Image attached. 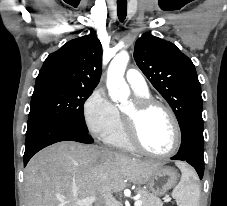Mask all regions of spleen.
Returning <instances> with one entry per match:
<instances>
[{
	"label": "spleen",
	"mask_w": 227,
	"mask_h": 206,
	"mask_svg": "<svg viewBox=\"0 0 227 206\" xmlns=\"http://www.w3.org/2000/svg\"><path fill=\"white\" fill-rule=\"evenodd\" d=\"M179 168L182 172L181 182L174 189L173 196L180 203L179 206H198L200 188L199 185L190 180L194 173L184 165L179 166Z\"/></svg>",
	"instance_id": "spleen-1"
}]
</instances>
